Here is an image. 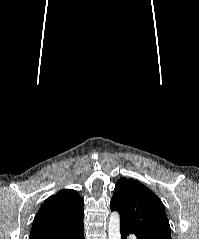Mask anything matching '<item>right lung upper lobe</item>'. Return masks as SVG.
<instances>
[{"label":"right lung upper lobe","instance_id":"1","mask_svg":"<svg viewBox=\"0 0 199 239\" xmlns=\"http://www.w3.org/2000/svg\"><path fill=\"white\" fill-rule=\"evenodd\" d=\"M83 199L75 190L63 189L50 196L37 212L30 236L63 230L83 220Z\"/></svg>","mask_w":199,"mask_h":239}]
</instances>
